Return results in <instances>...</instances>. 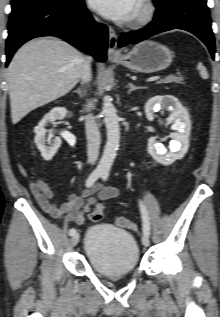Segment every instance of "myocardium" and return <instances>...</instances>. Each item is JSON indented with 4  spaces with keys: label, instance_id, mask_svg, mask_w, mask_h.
Segmentation results:
<instances>
[{
    "label": "myocardium",
    "instance_id": "myocardium-1",
    "mask_svg": "<svg viewBox=\"0 0 220 317\" xmlns=\"http://www.w3.org/2000/svg\"><path fill=\"white\" fill-rule=\"evenodd\" d=\"M139 9L131 19L132 26H145L156 16L157 8L152 0H139Z\"/></svg>",
    "mask_w": 220,
    "mask_h": 317
}]
</instances>
